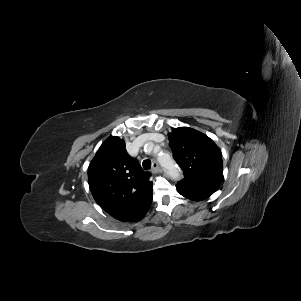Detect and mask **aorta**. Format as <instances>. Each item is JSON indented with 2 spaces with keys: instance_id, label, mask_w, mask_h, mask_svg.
I'll use <instances>...</instances> for the list:
<instances>
[{
  "instance_id": "aorta-1",
  "label": "aorta",
  "mask_w": 301,
  "mask_h": 301,
  "mask_svg": "<svg viewBox=\"0 0 301 301\" xmlns=\"http://www.w3.org/2000/svg\"><path fill=\"white\" fill-rule=\"evenodd\" d=\"M160 162L164 167L167 175L173 180H179L181 177L180 170L178 166L174 163V161L169 157L168 159L164 160L160 158Z\"/></svg>"
}]
</instances>
